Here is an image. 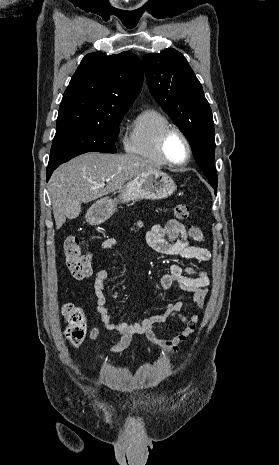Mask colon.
<instances>
[{"label": "colon", "mask_w": 279, "mask_h": 465, "mask_svg": "<svg viewBox=\"0 0 279 465\" xmlns=\"http://www.w3.org/2000/svg\"><path fill=\"white\" fill-rule=\"evenodd\" d=\"M173 213L176 219L187 221L189 219V206L177 204ZM188 236L191 240L201 242L204 234L200 227L188 224ZM65 264L70 274L78 280L88 277L92 272V258L89 254H83L80 241L75 236L66 238L64 242ZM63 316L67 323L65 335L67 340L74 346L79 345L87 334L86 315L77 305L66 304L63 307Z\"/></svg>", "instance_id": "1"}]
</instances>
